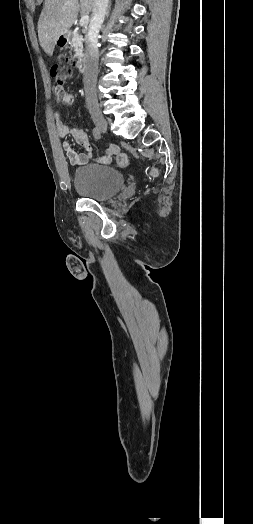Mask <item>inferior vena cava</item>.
I'll use <instances>...</instances> for the list:
<instances>
[{
  "instance_id": "obj_1",
  "label": "inferior vena cava",
  "mask_w": 253,
  "mask_h": 524,
  "mask_svg": "<svg viewBox=\"0 0 253 524\" xmlns=\"http://www.w3.org/2000/svg\"><path fill=\"white\" fill-rule=\"evenodd\" d=\"M107 7L108 0H94V8L86 36V67L83 81L88 106H96L98 103L96 90L99 59L97 36L104 22Z\"/></svg>"
}]
</instances>
